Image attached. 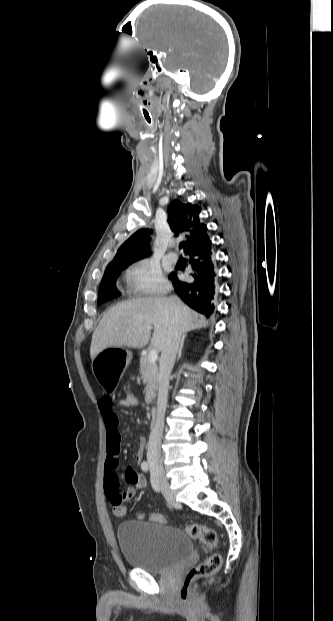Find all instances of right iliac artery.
<instances>
[{
  "instance_id": "1",
  "label": "right iliac artery",
  "mask_w": 333,
  "mask_h": 621,
  "mask_svg": "<svg viewBox=\"0 0 333 621\" xmlns=\"http://www.w3.org/2000/svg\"><path fill=\"white\" fill-rule=\"evenodd\" d=\"M141 469H142L144 472H147V471L149 470V465H148V463H147L146 461H143V462H142V464H141Z\"/></svg>"
}]
</instances>
